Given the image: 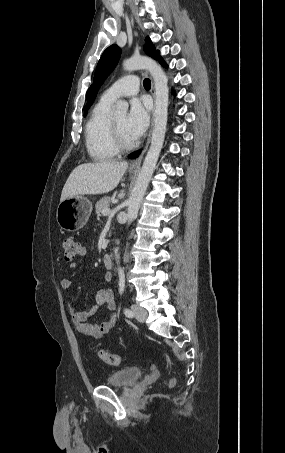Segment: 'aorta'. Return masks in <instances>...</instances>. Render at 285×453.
Masks as SVG:
<instances>
[{
	"label": "aorta",
	"instance_id": "obj_1",
	"mask_svg": "<svg viewBox=\"0 0 285 453\" xmlns=\"http://www.w3.org/2000/svg\"><path fill=\"white\" fill-rule=\"evenodd\" d=\"M125 71L137 69H146L150 72L155 85V111H154V129L151 137V145L144 159L142 168L139 172L136 184L128 200L127 220L128 225L137 217L140 203L146 192L149 181L156 167L158 157L163 147L166 133L167 115H168V79L162 68L148 57H131L123 61ZM128 103L123 100L116 102L114 112L116 114L126 115ZM117 263H119L118 249H116ZM121 272V267H118Z\"/></svg>",
	"mask_w": 285,
	"mask_h": 453
}]
</instances>
